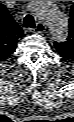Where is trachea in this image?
Wrapping results in <instances>:
<instances>
[{"instance_id": "obj_1", "label": "trachea", "mask_w": 74, "mask_h": 122, "mask_svg": "<svg viewBox=\"0 0 74 122\" xmlns=\"http://www.w3.org/2000/svg\"><path fill=\"white\" fill-rule=\"evenodd\" d=\"M23 24L26 28H35L36 27L34 17L30 14H28L24 17Z\"/></svg>"}]
</instances>
